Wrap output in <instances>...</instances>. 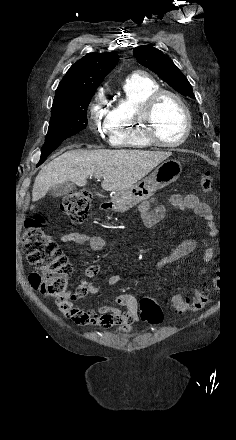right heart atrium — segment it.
<instances>
[{
    "label": "right heart atrium",
    "mask_w": 236,
    "mask_h": 440,
    "mask_svg": "<svg viewBox=\"0 0 236 440\" xmlns=\"http://www.w3.org/2000/svg\"><path fill=\"white\" fill-rule=\"evenodd\" d=\"M108 114L109 110L106 107L105 91L104 89H100L94 95L87 110L90 127L104 134L107 130Z\"/></svg>",
    "instance_id": "right-heart-atrium-1"
}]
</instances>
